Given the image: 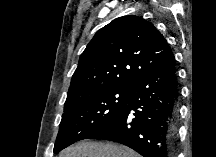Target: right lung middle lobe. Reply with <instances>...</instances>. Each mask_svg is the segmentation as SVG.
<instances>
[{
	"mask_svg": "<svg viewBox=\"0 0 216 157\" xmlns=\"http://www.w3.org/2000/svg\"><path fill=\"white\" fill-rule=\"evenodd\" d=\"M132 85L87 92L64 106L54 152L88 139L111 122L126 106Z\"/></svg>",
	"mask_w": 216,
	"mask_h": 157,
	"instance_id": "1",
	"label": "right lung middle lobe"
}]
</instances>
